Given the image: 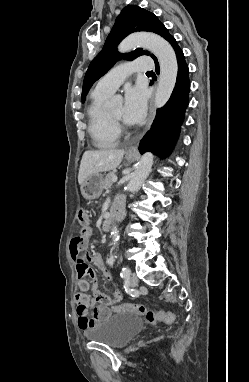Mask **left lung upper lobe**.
<instances>
[{"label":"left lung upper lobe","mask_w":249,"mask_h":382,"mask_svg":"<svg viewBox=\"0 0 249 382\" xmlns=\"http://www.w3.org/2000/svg\"><path fill=\"white\" fill-rule=\"evenodd\" d=\"M137 31H150L161 35L167 41L172 36L169 34L165 26L151 12L135 5H128L116 18L115 24L108 35L102 51L93 59L86 72L83 89L82 102L85 101L86 95L95 81L102 77L116 63L117 60L125 58L133 60L140 55H149V52L142 49L121 55L117 51V45L129 34ZM151 57L155 60L154 55Z\"/></svg>","instance_id":"left-lung-upper-lobe-1"}]
</instances>
